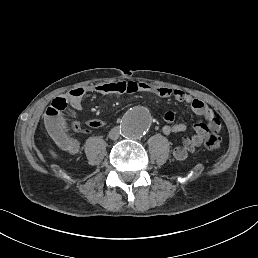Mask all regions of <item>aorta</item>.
<instances>
[{
    "instance_id": "762f6f07",
    "label": "aorta",
    "mask_w": 258,
    "mask_h": 258,
    "mask_svg": "<svg viewBox=\"0 0 258 258\" xmlns=\"http://www.w3.org/2000/svg\"><path fill=\"white\" fill-rule=\"evenodd\" d=\"M152 118L149 110L142 106L130 109L121 120V133L125 138L138 139L149 129Z\"/></svg>"
}]
</instances>
